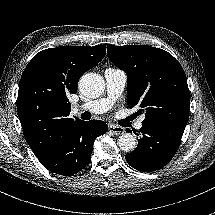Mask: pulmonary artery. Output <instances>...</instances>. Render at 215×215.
I'll return each mask as SVG.
<instances>
[{"label": "pulmonary artery", "mask_w": 215, "mask_h": 215, "mask_svg": "<svg viewBox=\"0 0 215 215\" xmlns=\"http://www.w3.org/2000/svg\"><path fill=\"white\" fill-rule=\"evenodd\" d=\"M104 75L106 79L107 96L75 106L73 108L75 113L80 111H88L92 114H103L113 106L115 100L121 95L125 88L127 74L121 69L107 68L104 72ZM144 119L145 116H142L137 121L136 128H142Z\"/></svg>", "instance_id": "e3ab8cb5"}]
</instances>
